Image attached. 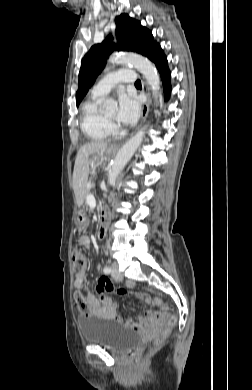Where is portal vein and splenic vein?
<instances>
[{
  "label": "portal vein and splenic vein",
  "mask_w": 252,
  "mask_h": 390,
  "mask_svg": "<svg viewBox=\"0 0 252 390\" xmlns=\"http://www.w3.org/2000/svg\"><path fill=\"white\" fill-rule=\"evenodd\" d=\"M87 203L89 204L90 207H95L96 206V202H95V198L93 195H88L87 196Z\"/></svg>",
  "instance_id": "portal-vein-and-splenic-vein-1"
}]
</instances>
